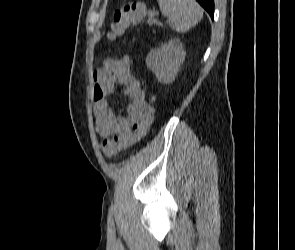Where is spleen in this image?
<instances>
[{
	"label": "spleen",
	"instance_id": "1",
	"mask_svg": "<svg viewBox=\"0 0 295 250\" xmlns=\"http://www.w3.org/2000/svg\"><path fill=\"white\" fill-rule=\"evenodd\" d=\"M161 13L180 33L188 31L203 17V10L195 0H157Z\"/></svg>",
	"mask_w": 295,
	"mask_h": 250
}]
</instances>
